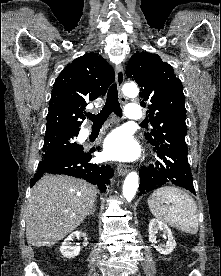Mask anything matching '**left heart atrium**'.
Segmentation results:
<instances>
[{"label":"left heart atrium","instance_id":"left-heart-atrium-1","mask_svg":"<svg viewBox=\"0 0 221 276\" xmlns=\"http://www.w3.org/2000/svg\"><path fill=\"white\" fill-rule=\"evenodd\" d=\"M138 155L132 136L123 129H116L104 141V156L108 159L129 161Z\"/></svg>","mask_w":221,"mask_h":276}]
</instances>
